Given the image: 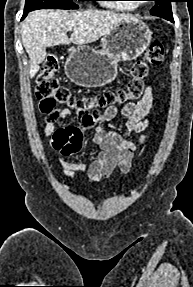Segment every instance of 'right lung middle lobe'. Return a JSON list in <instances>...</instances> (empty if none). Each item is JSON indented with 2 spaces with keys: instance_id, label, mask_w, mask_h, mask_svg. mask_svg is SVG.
<instances>
[{
  "instance_id": "right-lung-middle-lobe-1",
  "label": "right lung middle lobe",
  "mask_w": 193,
  "mask_h": 287,
  "mask_svg": "<svg viewBox=\"0 0 193 287\" xmlns=\"http://www.w3.org/2000/svg\"><path fill=\"white\" fill-rule=\"evenodd\" d=\"M94 1V0H78ZM78 5L72 0H26L24 11L30 12L37 9H77Z\"/></svg>"
}]
</instances>
